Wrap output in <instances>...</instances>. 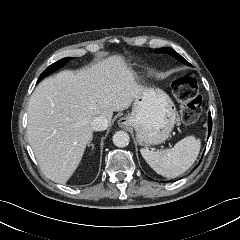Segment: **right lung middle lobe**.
Returning a JSON list of instances; mask_svg holds the SVG:
<instances>
[{"label": "right lung middle lobe", "instance_id": "right-lung-middle-lobe-1", "mask_svg": "<svg viewBox=\"0 0 240 240\" xmlns=\"http://www.w3.org/2000/svg\"><path fill=\"white\" fill-rule=\"evenodd\" d=\"M71 57L63 58L52 65H50L39 77L38 81L41 80L43 77L49 75L50 73L54 72L55 70H58L59 68L63 67L65 63H67Z\"/></svg>", "mask_w": 240, "mask_h": 240}]
</instances>
